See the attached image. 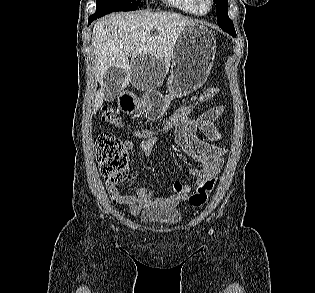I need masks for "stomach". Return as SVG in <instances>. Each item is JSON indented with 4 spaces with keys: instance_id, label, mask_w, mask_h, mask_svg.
<instances>
[{
    "instance_id": "stomach-1",
    "label": "stomach",
    "mask_w": 315,
    "mask_h": 293,
    "mask_svg": "<svg viewBox=\"0 0 315 293\" xmlns=\"http://www.w3.org/2000/svg\"><path fill=\"white\" fill-rule=\"evenodd\" d=\"M216 53V40L206 27L194 24L179 34L172 51V70L167 81L168 95L120 92L118 105L127 113L144 110L150 120L159 119L173 98L187 95L200 88L210 73Z\"/></svg>"
}]
</instances>
